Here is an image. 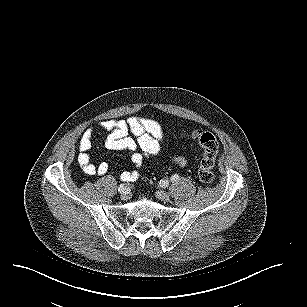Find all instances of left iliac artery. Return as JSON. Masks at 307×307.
Listing matches in <instances>:
<instances>
[{"label": "left iliac artery", "instance_id": "1", "mask_svg": "<svg viewBox=\"0 0 307 307\" xmlns=\"http://www.w3.org/2000/svg\"><path fill=\"white\" fill-rule=\"evenodd\" d=\"M170 180H171L172 182L178 181V180H179V175H178V174L172 175L171 178H170ZM160 184H162L163 186H165L166 181H162V183H161V181H160Z\"/></svg>", "mask_w": 307, "mask_h": 307}]
</instances>
